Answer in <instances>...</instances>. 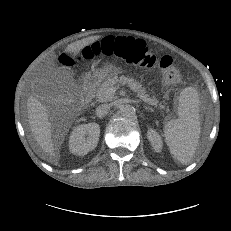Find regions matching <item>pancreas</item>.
Returning a JSON list of instances; mask_svg holds the SVG:
<instances>
[{
	"label": "pancreas",
	"mask_w": 231,
	"mask_h": 231,
	"mask_svg": "<svg viewBox=\"0 0 231 231\" xmlns=\"http://www.w3.org/2000/svg\"><path fill=\"white\" fill-rule=\"evenodd\" d=\"M118 83L129 86L132 91L137 92V96L144 102L155 107L158 106L159 109H165V106L162 103H159L155 97H149L146 88L143 87L140 82L123 75L120 77L114 75L104 80L96 89L93 90L94 97L99 102L112 101L115 98V94L111 91V89H113ZM166 110L168 111L169 109L167 108Z\"/></svg>",
	"instance_id": "cf45deb5"
}]
</instances>
